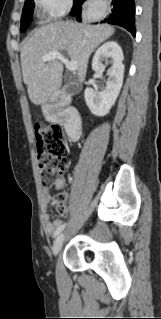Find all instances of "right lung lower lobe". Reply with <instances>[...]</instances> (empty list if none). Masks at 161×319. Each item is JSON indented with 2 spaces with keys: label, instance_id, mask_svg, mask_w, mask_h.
<instances>
[{
  "label": "right lung lower lobe",
  "instance_id": "obj_1",
  "mask_svg": "<svg viewBox=\"0 0 161 319\" xmlns=\"http://www.w3.org/2000/svg\"><path fill=\"white\" fill-rule=\"evenodd\" d=\"M86 0H74V6L71 15L81 21V5ZM111 13L102 22L115 24L126 28L135 36V7L134 0H112Z\"/></svg>",
  "mask_w": 161,
  "mask_h": 319
}]
</instances>
